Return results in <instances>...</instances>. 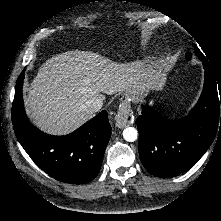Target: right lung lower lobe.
Segmentation results:
<instances>
[{"instance_id":"98d812e1","label":"right lung lower lobe","mask_w":221,"mask_h":221,"mask_svg":"<svg viewBox=\"0 0 221 221\" xmlns=\"http://www.w3.org/2000/svg\"><path fill=\"white\" fill-rule=\"evenodd\" d=\"M24 73L17 80L13 105L16 136L31 159L53 178L71 184H83L99 173L111 136L106 111H102L68 135L41 132L28 120L22 100Z\"/></svg>"}]
</instances>
